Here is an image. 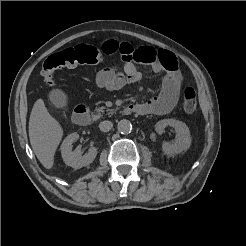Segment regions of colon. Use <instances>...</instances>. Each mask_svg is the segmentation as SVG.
Here are the masks:
<instances>
[{
    "label": "colon",
    "instance_id": "obj_1",
    "mask_svg": "<svg viewBox=\"0 0 246 246\" xmlns=\"http://www.w3.org/2000/svg\"><path fill=\"white\" fill-rule=\"evenodd\" d=\"M102 60L101 50L86 44L65 49L50 55L42 65L41 77L49 86L54 85V73L62 68H71L83 64H97ZM183 108L192 113L197 108V96L193 88H186L183 93Z\"/></svg>",
    "mask_w": 246,
    "mask_h": 246
}]
</instances>
